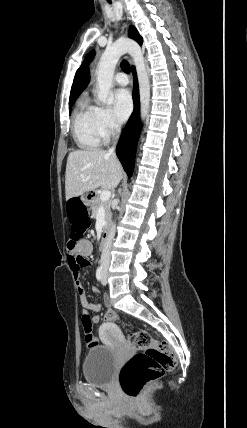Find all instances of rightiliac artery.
<instances>
[{
	"mask_svg": "<svg viewBox=\"0 0 247 428\" xmlns=\"http://www.w3.org/2000/svg\"><path fill=\"white\" fill-rule=\"evenodd\" d=\"M102 275H103L102 267H98V269L96 271V278L98 281H100L102 279Z\"/></svg>",
	"mask_w": 247,
	"mask_h": 428,
	"instance_id": "right-iliac-artery-1",
	"label": "right iliac artery"
}]
</instances>
